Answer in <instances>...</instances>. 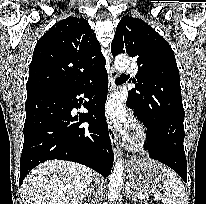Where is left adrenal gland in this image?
Masks as SVG:
<instances>
[{"label": "left adrenal gland", "instance_id": "1", "mask_svg": "<svg viewBox=\"0 0 206 204\" xmlns=\"http://www.w3.org/2000/svg\"><path fill=\"white\" fill-rule=\"evenodd\" d=\"M126 193H127L128 197H131V192H130L129 187H126Z\"/></svg>", "mask_w": 206, "mask_h": 204}]
</instances>
